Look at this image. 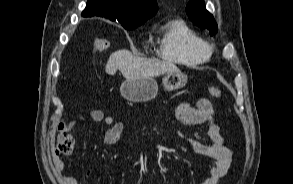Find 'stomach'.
I'll return each mask as SVG.
<instances>
[{
    "instance_id": "stomach-1",
    "label": "stomach",
    "mask_w": 293,
    "mask_h": 184,
    "mask_svg": "<svg viewBox=\"0 0 293 184\" xmlns=\"http://www.w3.org/2000/svg\"><path fill=\"white\" fill-rule=\"evenodd\" d=\"M188 77L179 72H168L162 79L164 88L173 91L184 87ZM158 92V85L153 77L128 78L120 86V94L128 101L139 103L152 100Z\"/></svg>"
}]
</instances>
